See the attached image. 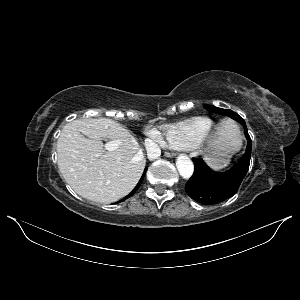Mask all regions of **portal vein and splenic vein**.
Returning <instances> with one entry per match:
<instances>
[{
    "label": "portal vein and splenic vein",
    "mask_w": 300,
    "mask_h": 300,
    "mask_svg": "<svg viewBox=\"0 0 300 300\" xmlns=\"http://www.w3.org/2000/svg\"><path fill=\"white\" fill-rule=\"evenodd\" d=\"M118 147L117 141H110L104 145V149L107 151H113Z\"/></svg>",
    "instance_id": "obj_1"
}]
</instances>
